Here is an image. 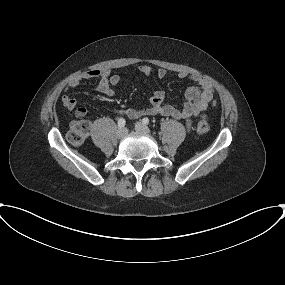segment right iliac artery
I'll return each mask as SVG.
<instances>
[{
    "label": "right iliac artery",
    "instance_id": "82829eb1",
    "mask_svg": "<svg viewBox=\"0 0 285 285\" xmlns=\"http://www.w3.org/2000/svg\"><path fill=\"white\" fill-rule=\"evenodd\" d=\"M125 124H126V121H125L124 118H120V119L118 120V126H119L120 128H123V127L125 126Z\"/></svg>",
    "mask_w": 285,
    "mask_h": 285
}]
</instances>
